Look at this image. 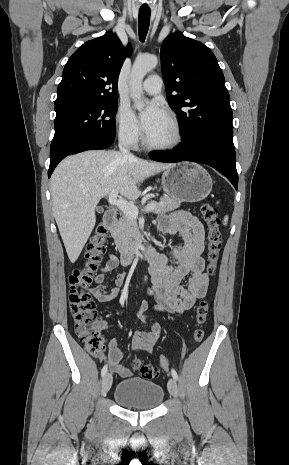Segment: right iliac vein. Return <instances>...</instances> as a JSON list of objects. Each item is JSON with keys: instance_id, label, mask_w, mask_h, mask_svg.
I'll list each match as a JSON object with an SVG mask.
<instances>
[{"instance_id": "obj_1", "label": "right iliac vein", "mask_w": 289, "mask_h": 465, "mask_svg": "<svg viewBox=\"0 0 289 465\" xmlns=\"http://www.w3.org/2000/svg\"><path fill=\"white\" fill-rule=\"evenodd\" d=\"M112 385V375L110 373H107L104 375L101 383V393L102 395H105L109 389L111 388Z\"/></svg>"}]
</instances>
